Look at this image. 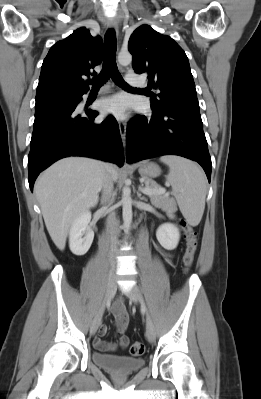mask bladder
<instances>
[{"label": "bladder", "instance_id": "obj_1", "mask_svg": "<svg viewBox=\"0 0 261 399\" xmlns=\"http://www.w3.org/2000/svg\"><path fill=\"white\" fill-rule=\"evenodd\" d=\"M92 360L102 369L114 373L129 375L137 372L144 366V359L125 355H106L94 351Z\"/></svg>", "mask_w": 261, "mask_h": 399}]
</instances>
